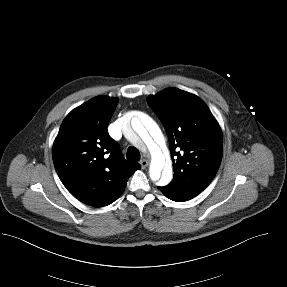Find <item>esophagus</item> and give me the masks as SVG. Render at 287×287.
Instances as JSON below:
<instances>
[{"instance_id": "34e87169", "label": "esophagus", "mask_w": 287, "mask_h": 287, "mask_svg": "<svg viewBox=\"0 0 287 287\" xmlns=\"http://www.w3.org/2000/svg\"><path fill=\"white\" fill-rule=\"evenodd\" d=\"M140 165L143 169L146 168L149 165V160L148 159H142L140 161Z\"/></svg>"}]
</instances>
